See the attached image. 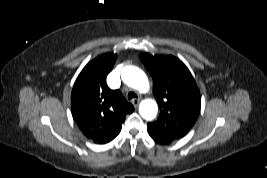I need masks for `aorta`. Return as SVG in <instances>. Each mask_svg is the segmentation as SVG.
Here are the masks:
<instances>
[{
  "instance_id": "1",
  "label": "aorta",
  "mask_w": 267,
  "mask_h": 178,
  "mask_svg": "<svg viewBox=\"0 0 267 178\" xmlns=\"http://www.w3.org/2000/svg\"><path fill=\"white\" fill-rule=\"evenodd\" d=\"M123 82L139 92H146L149 89V81L146 74L136 66H126L121 71ZM158 111L157 103L154 100H143L139 105V113L146 120L156 117Z\"/></svg>"
}]
</instances>
